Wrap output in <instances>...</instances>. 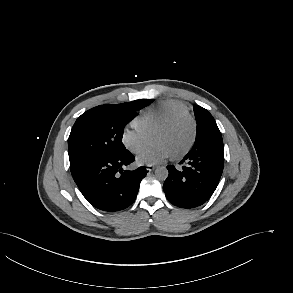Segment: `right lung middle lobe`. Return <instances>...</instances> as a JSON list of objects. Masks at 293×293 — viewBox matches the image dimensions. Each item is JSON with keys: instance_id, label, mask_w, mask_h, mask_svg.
I'll use <instances>...</instances> for the list:
<instances>
[{"instance_id": "right-lung-middle-lobe-1", "label": "right lung middle lobe", "mask_w": 293, "mask_h": 293, "mask_svg": "<svg viewBox=\"0 0 293 293\" xmlns=\"http://www.w3.org/2000/svg\"><path fill=\"white\" fill-rule=\"evenodd\" d=\"M152 101L100 105L78 117L68 138L71 173L96 159L126 151L122 143L125 125Z\"/></svg>"}]
</instances>
